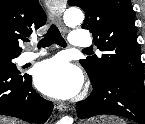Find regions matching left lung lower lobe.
Wrapping results in <instances>:
<instances>
[{
	"mask_svg": "<svg viewBox=\"0 0 145 124\" xmlns=\"http://www.w3.org/2000/svg\"><path fill=\"white\" fill-rule=\"evenodd\" d=\"M88 98L76 104L79 118L110 114L145 124V88L143 78L113 73L98 84H93Z\"/></svg>",
	"mask_w": 145,
	"mask_h": 124,
	"instance_id": "0a47b994",
	"label": "left lung lower lobe"
}]
</instances>
